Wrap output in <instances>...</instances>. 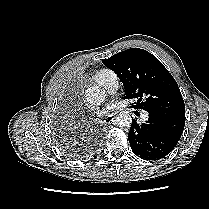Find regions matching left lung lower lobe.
Instances as JSON below:
<instances>
[{
	"mask_svg": "<svg viewBox=\"0 0 209 209\" xmlns=\"http://www.w3.org/2000/svg\"><path fill=\"white\" fill-rule=\"evenodd\" d=\"M185 126V119L171 114H152L146 123L132 121L128 134L133 153L144 160L164 158L178 143Z\"/></svg>",
	"mask_w": 209,
	"mask_h": 209,
	"instance_id": "0a47b994",
	"label": "left lung lower lobe"
}]
</instances>
